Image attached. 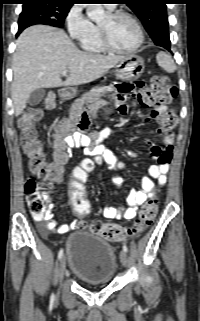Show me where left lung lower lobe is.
Segmentation results:
<instances>
[{
  "label": "left lung lower lobe",
  "mask_w": 200,
  "mask_h": 321,
  "mask_svg": "<svg viewBox=\"0 0 200 321\" xmlns=\"http://www.w3.org/2000/svg\"><path fill=\"white\" fill-rule=\"evenodd\" d=\"M165 49H167L168 51H170V44L166 45V47H164Z\"/></svg>",
  "instance_id": "obj_1"
}]
</instances>
